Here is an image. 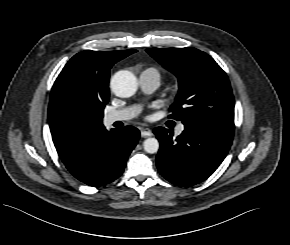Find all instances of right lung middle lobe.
<instances>
[{
    "mask_svg": "<svg viewBox=\"0 0 290 245\" xmlns=\"http://www.w3.org/2000/svg\"><path fill=\"white\" fill-rule=\"evenodd\" d=\"M99 110L103 114L104 106H99Z\"/></svg>",
    "mask_w": 290,
    "mask_h": 245,
    "instance_id": "obj_1",
    "label": "right lung middle lobe"
}]
</instances>
